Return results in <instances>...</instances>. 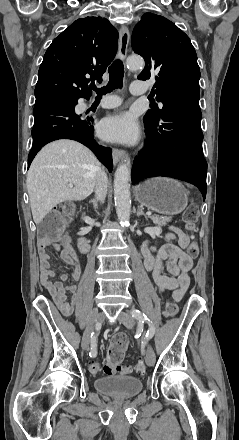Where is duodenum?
I'll list each match as a JSON object with an SVG mask.
<instances>
[{
  "mask_svg": "<svg viewBox=\"0 0 239 440\" xmlns=\"http://www.w3.org/2000/svg\"><path fill=\"white\" fill-rule=\"evenodd\" d=\"M84 213L82 214V218L84 217ZM79 248L83 253H87L90 250V242L85 236H81L79 238Z\"/></svg>",
  "mask_w": 239,
  "mask_h": 440,
  "instance_id": "obj_1",
  "label": "duodenum"
}]
</instances>
